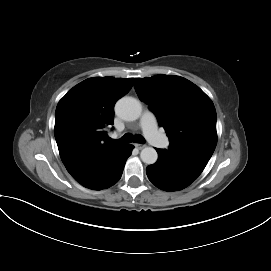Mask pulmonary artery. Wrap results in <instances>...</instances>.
<instances>
[{"label":"pulmonary artery","mask_w":271,"mask_h":271,"mask_svg":"<svg viewBox=\"0 0 271 271\" xmlns=\"http://www.w3.org/2000/svg\"><path fill=\"white\" fill-rule=\"evenodd\" d=\"M140 127L142 128L146 138L158 147H166L168 141L158 131L157 120L155 115L146 111L140 119Z\"/></svg>","instance_id":"e3ab8cb5"}]
</instances>
